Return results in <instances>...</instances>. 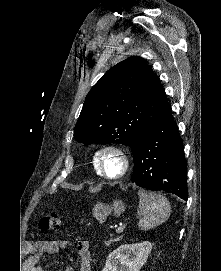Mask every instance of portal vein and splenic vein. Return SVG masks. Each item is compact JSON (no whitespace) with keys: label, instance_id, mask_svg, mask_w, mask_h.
<instances>
[{"label":"portal vein and splenic vein","instance_id":"1","mask_svg":"<svg viewBox=\"0 0 221 271\" xmlns=\"http://www.w3.org/2000/svg\"><path fill=\"white\" fill-rule=\"evenodd\" d=\"M133 218H138V213H133ZM124 227H125V223H124V225H121V227H117V229H116V233H121V231H123V229H124Z\"/></svg>","mask_w":221,"mask_h":271}]
</instances>
